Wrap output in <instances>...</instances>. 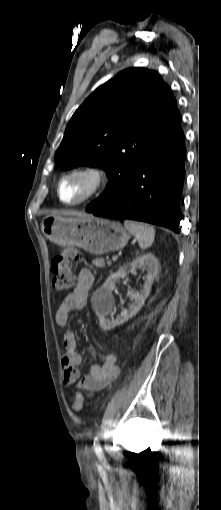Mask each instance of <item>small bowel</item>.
Wrapping results in <instances>:
<instances>
[{"mask_svg": "<svg viewBox=\"0 0 221 510\" xmlns=\"http://www.w3.org/2000/svg\"><path fill=\"white\" fill-rule=\"evenodd\" d=\"M94 283V276L88 268H82L77 274L73 290L63 299L56 313V322L60 326L68 325L70 314L82 310L87 303L89 291ZM66 353L62 364L66 384L75 383L80 379L82 356L78 352V338L75 332L68 331L64 335ZM119 374L116 357L107 353L99 363L91 364L89 373L83 376L79 384L88 393H94L110 385Z\"/></svg>", "mask_w": 221, "mask_h": 510, "instance_id": "c3829d8e", "label": "small bowel"}]
</instances>
